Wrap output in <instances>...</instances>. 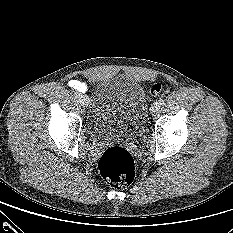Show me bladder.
Segmentation results:
<instances>
[{
  "instance_id": "obj_1",
  "label": "bladder",
  "mask_w": 233,
  "mask_h": 233,
  "mask_svg": "<svg viewBox=\"0 0 233 233\" xmlns=\"http://www.w3.org/2000/svg\"><path fill=\"white\" fill-rule=\"evenodd\" d=\"M89 104L87 124L93 140L135 143L146 134L147 96L129 77L117 75L99 82Z\"/></svg>"
}]
</instances>
